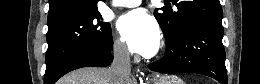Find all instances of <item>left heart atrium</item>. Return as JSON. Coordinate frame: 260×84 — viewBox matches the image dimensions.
Returning <instances> with one entry per match:
<instances>
[{"label":"left heart atrium","mask_w":260,"mask_h":84,"mask_svg":"<svg viewBox=\"0 0 260 84\" xmlns=\"http://www.w3.org/2000/svg\"><path fill=\"white\" fill-rule=\"evenodd\" d=\"M128 47L143 56L158 50L161 34L156 21L143 9H134L122 15L117 24Z\"/></svg>","instance_id":"39dd6f15"}]
</instances>
